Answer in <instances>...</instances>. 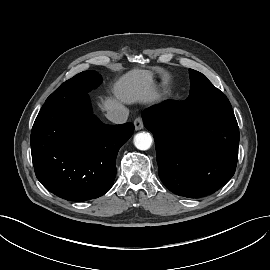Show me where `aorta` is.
I'll list each match as a JSON object with an SVG mask.
<instances>
[{
  "instance_id": "obj_1",
  "label": "aorta",
  "mask_w": 270,
  "mask_h": 270,
  "mask_svg": "<svg viewBox=\"0 0 270 270\" xmlns=\"http://www.w3.org/2000/svg\"><path fill=\"white\" fill-rule=\"evenodd\" d=\"M152 144V137L148 132H140L134 136V145L139 150H148Z\"/></svg>"
}]
</instances>
